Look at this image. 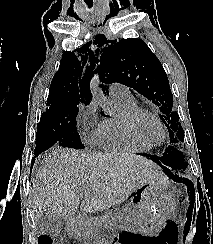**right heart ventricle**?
<instances>
[{
	"label": "right heart ventricle",
	"instance_id": "right-heart-ventricle-1",
	"mask_svg": "<svg viewBox=\"0 0 213 244\" xmlns=\"http://www.w3.org/2000/svg\"><path fill=\"white\" fill-rule=\"evenodd\" d=\"M113 99L118 107V113L100 122L96 131L95 143L107 151L119 153H140L148 150L131 140L123 125L124 115L139 108L137 102L133 98Z\"/></svg>",
	"mask_w": 213,
	"mask_h": 244
}]
</instances>
